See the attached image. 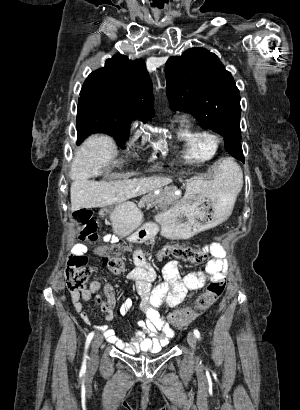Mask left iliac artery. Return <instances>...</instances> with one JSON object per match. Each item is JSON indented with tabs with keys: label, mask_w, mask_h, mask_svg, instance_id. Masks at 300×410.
I'll list each match as a JSON object with an SVG mask.
<instances>
[{
	"label": "left iliac artery",
	"mask_w": 300,
	"mask_h": 410,
	"mask_svg": "<svg viewBox=\"0 0 300 410\" xmlns=\"http://www.w3.org/2000/svg\"><path fill=\"white\" fill-rule=\"evenodd\" d=\"M194 335H195L198 339L201 338V337H200V332H199L197 329H194Z\"/></svg>",
	"instance_id": "obj_1"
}]
</instances>
